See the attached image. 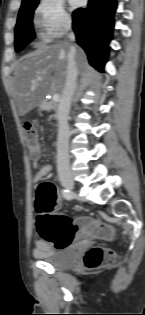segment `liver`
<instances>
[{"label":"liver","instance_id":"liver-1","mask_svg":"<svg viewBox=\"0 0 145 315\" xmlns=\"http://www.w3.org/2000/svg\"><path fill=\"white\" fill-rule=\"evenodd\" d=\"M34 51L15 65L12 95L20 116L41 105L49 94H62L67 71V56L73 50L77 68H87L84 51L67 41L44 40L33 44Z\"/></svg>","mask_w":145,"mask_h":315}]
</instances>
